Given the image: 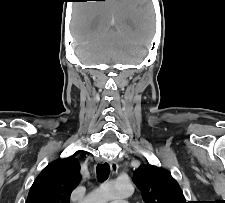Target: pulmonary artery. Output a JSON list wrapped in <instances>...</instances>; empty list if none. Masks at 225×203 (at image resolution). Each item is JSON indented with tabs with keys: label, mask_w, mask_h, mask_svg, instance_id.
<instances>
[{
	"label": "pulmonary artery",
	"mask_w": 225,
	"mask_h": 203,
	"mask_svg": "<svg viewBox=\"0 0 225 203\" xmlns=\"http://www.w3.org/2000/svg\"><path fill=\"white\" fill-rule=\"evenodd\" d=\"M112 203H128L127 201H114Z\"/></svg>",
	"instance_id": "obj_1"
}]
</instances>
